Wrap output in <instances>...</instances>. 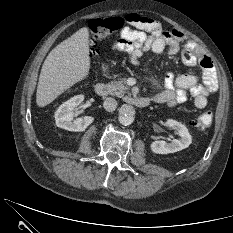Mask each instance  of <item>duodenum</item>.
<instances>
[{
    "mask_svg": "<svg viewBox=\"0 0 233 233\" xmlns=\"http://www.w3.org/2000/svg\"><path fill=\"white\" fill-rule=\"evenodd\" d=\"M95 92L99 96H106L108 94L107 85L104 83H97L95 85ZM125 100L129 104L134 105L139 108L147 107L150 104V99L145 98V97L127 96Z\"/></svg>",
    "mask_w": 233,
    "mask_h": 233,
    "instance_id": "1",
    "label": "duodenum"
}]
</instances>
